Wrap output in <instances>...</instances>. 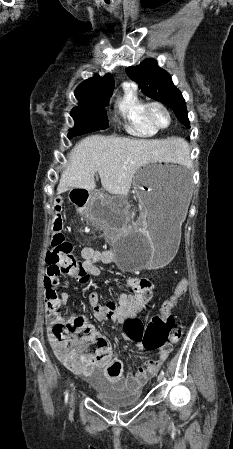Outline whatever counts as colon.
Instances as JSON below:
<instances>
[{"instance_id": "1", "label": "colon", "mask_w": 233, "mask_h": 449, "mask_svg": "<svg viewBox=\"0 0 233 449\" xmlns=\"http://www.w3.org/2000/svg\"><path fill=\"white\" fill-rule=\"evenodd\" d=\"M59 203L55 202L56 211L52 219L50 247L46 256L49 264H58L64 270L69 267H76L79 264L72 246L66 241L63 235V220L58 214ZM187 277H180L176 281L173 294L165 300L160 312L153 315L143 330L137 319H129L122 330V337L129 338L130 343H141L146 351L169 350L172 343H176L181 338V328L177 324L171 311L176 306L178 299L185 295L189 289ZM50 337L55 344V352L58 357L72 369L78 370L83 366V360L74 353L70 338L73 332L77 333L79 339V349L87 351L91 348L97 361L106 362V356L110 352V343L103 337H97L92 328L88 326L86 320L80 317H66L57 307L49 310Z\"/></svg>"}]
</instances>
